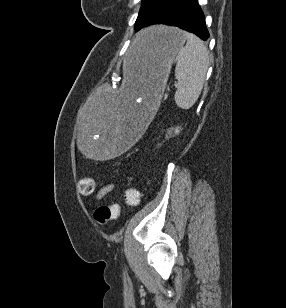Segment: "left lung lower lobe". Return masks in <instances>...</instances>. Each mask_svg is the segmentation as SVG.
<instances>
[{
    "instance_id": "1",
    "label": "left lung lower lobe",
    "mask_w": 286,
    "mask_h": 308,
    "mask_svg": "<svg viewBox=\"0 0 286 308\" xmlns=\"http://www.w3.org/2000/svg\"><path fill=\"white\" fill-rule=\"evenodd\" d=\"M152 24L177 26L194 33L202 40H207L209 37L198 0H172Z\"/></svg>"
}]
</instances>
